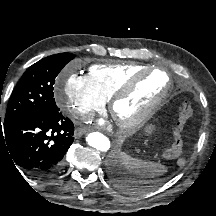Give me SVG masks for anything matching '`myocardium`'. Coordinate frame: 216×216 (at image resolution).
<instances>
[{"instance_id": "f54148a6", "label": "myocardium", "mask_w": 216, "mask_h": 216, "mask_svg": "<svg viewBox=\"0 0 216 216\" xmlns=\"http://www.w3.org/2000/svg\"><path fill=\"white\" fill-rule=\"evenodd\" d=\"M157 72H159V69L157 68H146L133 75L111 95L109 99V111L115 118L118 127L122 131L131 132L142 126L169 95L172 88V79L168 73L159 72L167 77V84L165 88L157 96H155V98H153L137 116L129 119H122L116 115L117 105L132 97L138 90L139 86Z\"/></svg>"}]
</instances>
